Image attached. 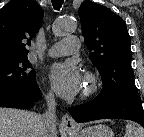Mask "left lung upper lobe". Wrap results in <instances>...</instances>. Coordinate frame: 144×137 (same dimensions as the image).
I'll list each match as a JSON object with an SVG mask.
<instances>
[{
    "label": "left lung upper lobe",
    "mask_w": 144,
    "mask_h": 137,
    "mask_svg": "<svg viewBox=\"0 0 144 137\" xmlns=\"http://www.w3.org/2000/svg\"><path fill=\"white\" fill-rule=\"evenodd\" d=\"M82 33L103 80L98 96L112 100L139 95L134 83L131 40L125 22L109 8L84 1L79 9Z\"/></svg>",
    "instance_id": "left-lung-upper-lobe-1"
}]
</instances>
